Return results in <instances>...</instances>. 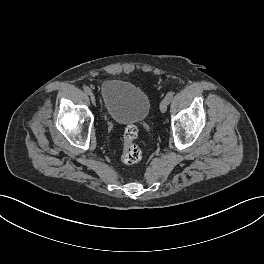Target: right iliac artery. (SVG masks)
<instances>
[{
  "instance_id": "1",
  "label": "right iliac artery",
  "mask_w": 264,
  "mask_h": 264,
  "mask_svg": "<svg viewBox=\"0 0 264 264\" xmlns=\"http://www.w3.org/2000/svg\"><path fill=\"white\" fill-rule=\"evenodd\" d=\"M84 92L87 93V94H90L91 93V89L89 87H84Z\"/></svg>"
}]
</instances>
